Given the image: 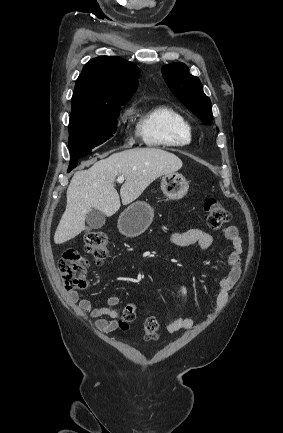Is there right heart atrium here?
Wrapping results in <instances>:
<instances>
[{
    "instance_id": "1",
    "label": "right heart atrium",
    "mask_w": 283,
    "mask_h": 433,
    "mask_svg": "<svg viewBox=\"0 0 283 433\" xmlns=\"http://www.w3.org/2000/svg\"><path fill=\"white\" fill-rule=\"evenodd\" d=\"M114 130L117 134L121 135V137H122L121 148H126V147H130L133 145L134 140L131 136H129L126 128L124 127V117L123 116L115 121Z\"/></svg>"
}]
</instances>
